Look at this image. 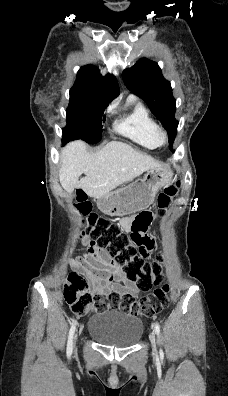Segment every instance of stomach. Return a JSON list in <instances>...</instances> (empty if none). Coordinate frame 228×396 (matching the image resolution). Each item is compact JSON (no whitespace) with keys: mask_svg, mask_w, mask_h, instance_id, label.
Returning <instances> with one entry per match:
<instances>
[{"mask_svg":"<svg viewBox=\"0 0 228 396\" xmlns=\"http://www.w3.org/2000/svg\"><path fill=\"white\" fill-rule=\"evenodd\" d=\"M173 172L167 167L147 171L125 188L96 197L98 208L110 216H123L148 208L158 192L172 181Z\"/></svg>","mask_w":228,"mask_h":396,"instance_id":"obj_1","label":"stomach"}]
</instances>
